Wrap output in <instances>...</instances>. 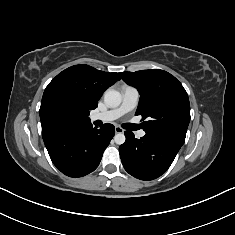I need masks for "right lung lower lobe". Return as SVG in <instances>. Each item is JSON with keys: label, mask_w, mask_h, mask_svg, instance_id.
I'll return each mask as SVG.
<instances>
[{"label": "right lung lower lobe", "mask_w": 235, "mask_h": 235, "mask_svg": "<svg viewBox=\"0 0 235 235\" xmlns=\"http://www.w3.org/2000/svg\"><path fill=\"white\" fill-rule=\"evenodd\" d=\"M115 134L112 124H67L42 133L49 156L63 174L82 177L94 171Z\"/></svg>", "instance_id": "1"}]
</instances>
